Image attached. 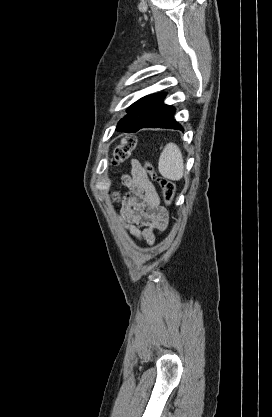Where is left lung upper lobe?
Returning <instances> with one entry per match:
<instances>
[{"label": "left lung upper lobe", "instance_id": "1", "mask_svg": "<svg viewBox=\"0 0 272 417\" xmlns=\"http://www.w3.org/2000/svg\"><path fill=\"white\" fill-rule=\"evenodd\" d=\"M165 95L151 94L139 99L127 109L128 114L119 121L116 130L131 133L139 129L160 108Z\"/></svg>", "mask_w": 272, "mask_h": 417}]
</instances>
